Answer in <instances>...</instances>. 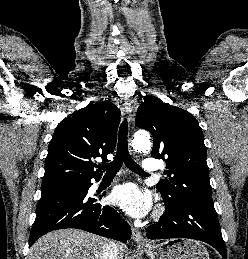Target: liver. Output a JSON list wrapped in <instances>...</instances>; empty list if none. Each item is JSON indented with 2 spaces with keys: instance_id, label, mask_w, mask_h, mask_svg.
<instances>
[{
  "instance_id": "6515ba94",
  "label": "liver",
  "mask_w": 248,
  "mask_h": 259,
  "mask_svg": "<svg viewBox=\"0 0 248 259\" xmlns=\"http://www.w3.org/2000/svg\"><path fill=\"white\" fill-rule=\"evenodd\" d=\"M105 244L103 237L82 230H56L39 238L27 259H101ZM117 248L118 259H123L125 246L118 244Z\"/></svg>"
}]
</instances>
